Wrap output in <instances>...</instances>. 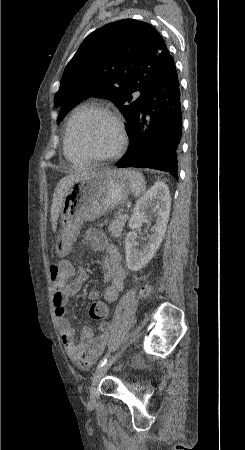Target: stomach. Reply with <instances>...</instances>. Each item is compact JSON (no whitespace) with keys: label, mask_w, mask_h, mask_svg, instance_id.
Listing matches in <instances>:
<instances>
[{"label":"stomach","mask_w":245,"mask_h":450,"mask_svg":"<svg viewBox=\"0 0 245 450\" xmlns=\"http://www.w3.org/2000/svg\"><path fill=\"white\" fill-rule=\"evenodd\" d=\"M130 182L122 170L98 168L76 179L65 194L61 209L62 231L55 251L60 258L72 249L85 220H95L124 203Z\"/></svg>","instance_id":"obj_1"}]
</instances>
